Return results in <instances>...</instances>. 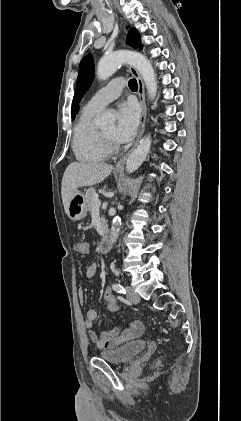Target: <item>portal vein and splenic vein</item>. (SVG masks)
<instances>
[{
  "label": "portal vein and splenic vein",
  "mask_w": 241,
  "mask_h": 421,
  "mask_svg": "<svg viewBox=\"0 0 241 421\" xmlns=\"http://www.w3.org/2000/svg\"><path fill=\"white\" fill-rule=\"evenodd\" d=\"M100 204H101V201L98 198V194L95 193L94 194V197H93V206H92V208H99Z\"/></svg>",
  "instance_id": "portal-vein-and-splenic-vein-1"
}]
</instances>
